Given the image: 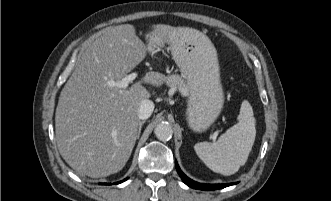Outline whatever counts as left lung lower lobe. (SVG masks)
<instances>
[{"label": "left lung lower lobe", "instance_id": "obj_1", "mask_svg": "<svg viewBox=\"0 0 331 201\" xmlns=\"http://www.w3.org/2000/svg\"><path fill=\"white\" fill-rule=\"evenodd\" d=\"M175 166H176V170H177L178 174L180 175L181 179L183 180V182L185 184H187L189 187L194 188V189L209 191V190L222 189V188H225L227 186L236 184V183H229V184H202V183H198V182H195V181L191 180L190 178H188L181 171L177 161H175Z\"/></svg>", "mask_w": 331, "mask_h": 201}]
</instances>
